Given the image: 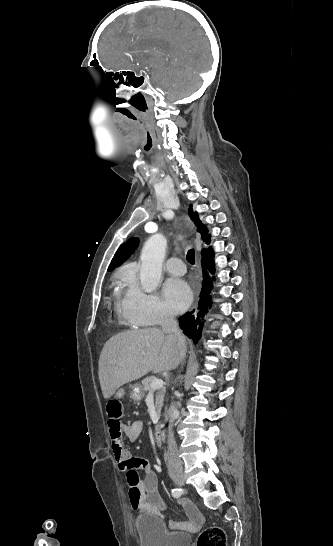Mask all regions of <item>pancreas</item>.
Segmentation results:
<instances>
[{
    "instance_id": "cf45deb5",
    "label": "pancreas",
    "mask_w": 333,
    "mask_h": 546,
    "mask_svg": "<svg viewBox=\"0 0 333 546\" xmlns=\"http://www.w3.org/2000/svg\"><path fill=\"white\" fill-rule=\"evenodd\" d=\"M155 376H148L145 379H143V391L148 392L151 391V382L155 379ZM165 388H159L155 390V400H156V408H157V414L160 416L161 408L164 401V395H165Z\"/></svg>"
}]
</instances>
